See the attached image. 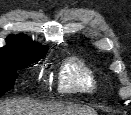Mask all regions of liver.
I'll use <instances>...</instances> for the list:
<instances>
[{"mask_svg": "<svg viewBox=\"0 0 131 115\" xmlns=\"http://www.w3.org/2000/svg\"><path fill=\"white\" fill-rule=\"evenodd\" d=\"M0 115H97L89 107L65 104H42L26 99L0 102Z\"/></svg>", "mask_w": 131, "mask_h": 115, "instance_id": "liver-1", "label": "liver"}]
</instances>
